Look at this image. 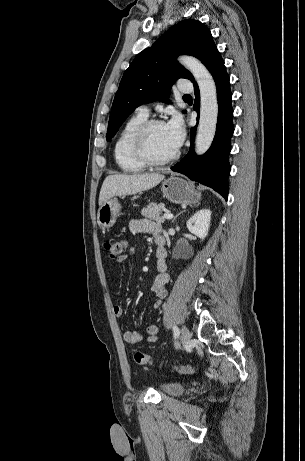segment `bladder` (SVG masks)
I'll return each instance as SVG.
<instances>
[{"instance_id":"1","label":"bladder","mask_w":305,"mask_h":461,"mask_svg":"<svg viewBox=\"0 0 305 461\" xmlns=\"http://www.w3.org/2000/svg\"><path fill=\"white\" fill-rule=\"evenodd\" d=\"M161 392L169 396H177L184 392L185 385L181 382H168L161 386Z\"/></svg>"}]
</instances>
